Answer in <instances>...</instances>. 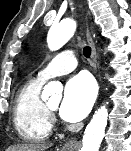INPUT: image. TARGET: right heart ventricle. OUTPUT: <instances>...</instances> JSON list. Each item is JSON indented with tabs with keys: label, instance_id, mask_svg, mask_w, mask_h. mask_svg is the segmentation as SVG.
Instances as JSON below:
<instances>
[{
	"label": "right heart ventricle",
	"instance_id": "e07e8e85",
	"mask_svg": "<svg viewBox=\"0 0 131 151\" xmlns=\"http://www.w3.org/2000/svg\"><path fill=\"white\" fill-rule=\"evenodd\" d=\"M43 82L40 78L29 80L16 96L13 121L19 136L26 141H44L52 132L51 114L40 97Z\"/></svg>",
	"mask_w": 131,
	"mask_h": 151
}]
</instances>
